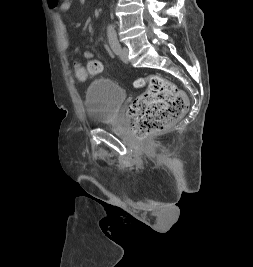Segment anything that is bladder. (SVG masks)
I'll return each mask as SVG.
<instances>
[{"label": "bladder", "mask_w": 253, "mask_h": 267, "mask_svg": "<svg viewBox=\"0 0 253 267\" xmlns=\"http://www.w3.org/2000/svg\"><path fill=\"white\" fill-rule=\"evenodd\" d=\"M126 93L117 83L109 79H96L84 94V107L89 122L104 125L113 122L125 101Z\"/></svg>", "instance_id": "obj_1"}]
</instances>
